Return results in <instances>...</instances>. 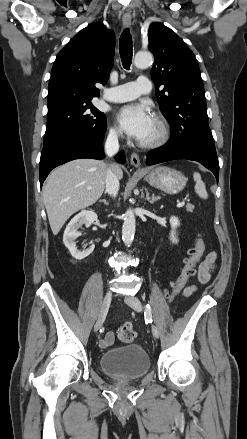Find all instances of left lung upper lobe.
<instances>
[{"label":"left lung upper lobe","instance_id":"5c2ea615","mask_svg":"<svg viewBox=\"0 0 247 439\" xmlns=\"http://www.w3.org/2000/svg\"><path fill=\"white\" fill-rule=\"evenodd\" d=\"M148 38L149 50L154 55L151 77L157 101L170 123L171 139L182 147L217 158L196 57L185 42L162 23L150 25ZM160 86H164L161 91Z\"/></svg>","mask_w":247,"mask_h":439}]
</instances>
